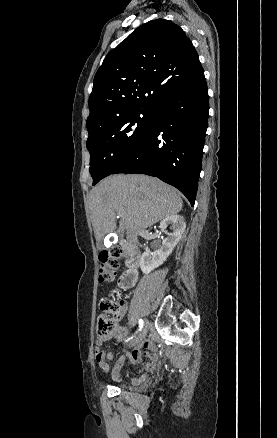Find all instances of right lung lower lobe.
Wrapping results in <instances>:
<instances>
[{
  "label": "right lung lower lobe",
  "mask_w": 277,
  "mask_h": 438,
  "mask_svg": "<svg viewBox=\"0 0 277 438\" xmlns=\"http://www.w3.org/2000/svg\"><path fill=\"white\" fill-rule=\"evenodd\" d=\"M153 110L145 138L113 174L158 177L178 188L194 205L209 110L204 73L163 95Z\"/></svg>",
  "instance_id": "1"
}]
</instances>
